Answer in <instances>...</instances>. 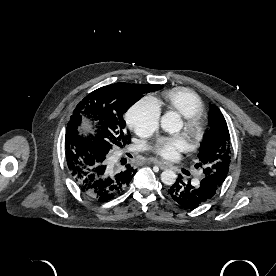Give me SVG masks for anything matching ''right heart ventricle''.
I'll use <instances>...</instances> for the list:
<instances>
[{
    "mask_svg": "<svg viewBox=\"0 0 276 276\" xmlns=\"http://www.w3.org/2000/svg\"><path fill=\"white\" fill-rule=\"evenodd\" d=\"M168 107L183 117L201 115L204 110L202 100L198 95L188 89H173L163 94Z\"/></svg>",
    "mask_w": 276,
    "mask_h": 276,
    "instance_id": "e07e8e85",
    "label": "right heart ventricle"
}]
</instances>
